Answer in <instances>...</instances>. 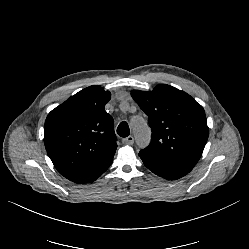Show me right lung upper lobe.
<instances>
[{"label":"right lung upper lobe","mask_w":249,"mask_h":249,"mask_svg":"<svg viewBox=\"0 0 249 249\" xmlns=\"http://www.w3.org/2000/svg\"><path fill=\"white\" fill-rule=\"evenodd\" d=\"M109 91L85 88L53 109L44 126V144L55 168L76 183L90 182L112 163L117 148L114 121L104 107Z\"/></svg>","instance_id":"1"}]
</instances>
